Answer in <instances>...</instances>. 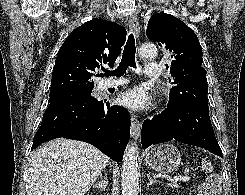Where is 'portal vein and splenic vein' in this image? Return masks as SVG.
<instances>
[{
	"instance_id": "obj_1",
	"label": "portal vein and splenic vein",
	"mask_w": 245,
	"mask_h": 195,
	"mask_svg": "<svg viewBox=\"0 0 245 195\" xmlns=\"http://www.w3.org/2000/svg\"><path fill=\"white\" fill-rule=\"evenodd\" d=\"M189 180H190V178L188 176H176L173 179H171V182H173V183H177L178 181L187 182Z\"/></svg>"
}]
</instances>
